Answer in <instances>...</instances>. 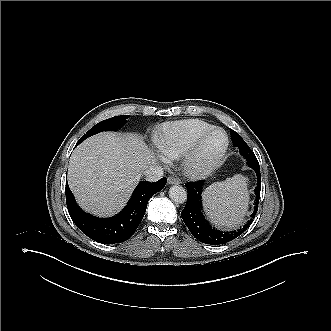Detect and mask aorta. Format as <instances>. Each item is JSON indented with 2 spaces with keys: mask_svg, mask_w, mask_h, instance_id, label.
I'll use <instances>...</instances> for the list:
<instances>
[{
  "mask_svg": "<svg viewBox=\"0 0 331 331\" xmlns=\"http://www.w3.org/2000/svg\"><path fill=\"white\" fill-rule=\"evenodd\" d=\"M169 197L173 202L182 204L187 200V191L180 185H173L169 189Z\"/></svg>",
  "mask_w": 331,
  "mask_h": 331,
  "instance_id": "obj_1",
  "label": "aorta"
}]
</instances>
